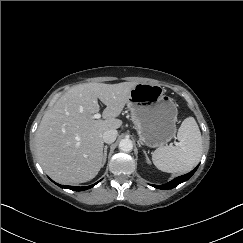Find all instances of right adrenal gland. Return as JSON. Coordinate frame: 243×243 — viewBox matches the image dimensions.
Returning <instances> with one entry per match:
<instances>
[{
    "label": "right adrenal gland",
    "mask_w": 243,
    "mask_h": 243,
    "mask_svg": "<svg viewBox=\"0 0 243 243\" xmlns=\"http://www.w3.org/2000/svg\"><path fill=\"white\" fill-rule=\"evenodd\" d=\"M107 149H108V145L104 146V153H103V164L102 166L105 165L106 159H107Z\"/></svg>",
    "instance_id": "1"
}]
</instances>
